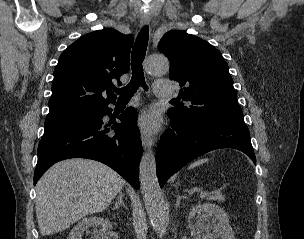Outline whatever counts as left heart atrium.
Instances as JSON below:
<instances>
[{"label":"left heart atrium","instance_id":"left-heart-atrium-1","mask_svg":"<svg viewBox=\"0 0 304 239\" xmlns=\"http://www.w3.org/2000/svg\"><path fill=\"white\" fill-rule=\"evenodd\" d=\"M159 125V116L153 111L144 112L138 119V126L144 133H153L157 131Z\"/></svg>","mask_w":304,"mask_h":239}]
</instances>
